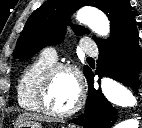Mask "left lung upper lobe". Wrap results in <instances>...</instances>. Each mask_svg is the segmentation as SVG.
Instances as JSON below:
<instances>
[{
	"label": "left lung upper lobe",
	"instance_id": "obj_1",
	"mask_svg": "<svg viewBox=\"0 0 142 128\" xmlns=\"http://www.w3.org/2000/svg\"><path fill=\"white\" fill-rule=\"evenodd\" d=\"M86 5L101 9L110 20V37L107 40L93 37L98 46L107 43L135 22L129 0H48L28 18L13 57L25 60L45 46L58 44L63 39L66 24H70V15ZM74 31L77 35L89 33L83 26H75ZM83 70L86 76L90 68L84 66Z\"/></svg>",
	"mask_w": 142,
	"mask_h": 128
}]
</instances>
